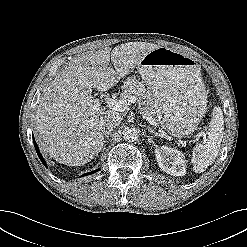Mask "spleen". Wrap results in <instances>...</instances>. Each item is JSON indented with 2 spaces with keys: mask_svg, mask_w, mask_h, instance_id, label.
Instances as JSON below:
<instances>
[{
  "mask_svg": "<svg viewBox=\"0 0 247 247\" xmlns=\"http://www.w3.org/2000/svg\"><path fill=\"white\" fill-rule=\"evenodd\" d=\"M208 139L203 144H198L193 150V170L202 173L211 165L219 153L223 139L224 119L220 107H215L209 125Z\"/></svg>",
  "mask_w": 247,
  "mask_h": 247,
  "instance_id": "1",
  "label": "spleen"
}]
</instances>
